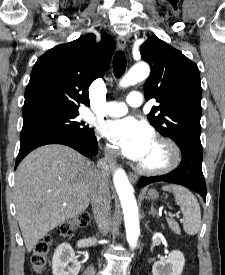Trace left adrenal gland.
I'll return each mask as SVG.
<instances>
[{
  "mask_svg": "<svg viewBox=\"0 0 225 275\" xmlns=\"http://www.w3.org/2000/svg\"><path fill=\"white\" fill-rule=\"evenodd\" d=\"M149 214L153 215V217L157 215V211L154 209L153 205L151 206V210H150Z\"/></svg>",
  "mask_w": 225,
  "mask_h": 275,
  "instance_id": "left-adrenal-gland-1",
  "label": "left adrenal gland"
}]
</instances>
